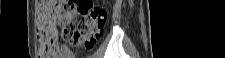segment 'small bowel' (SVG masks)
Instances as JSON below:
<instances>
[{"instance_id":"1","label":"small bowel","mask_w":225,"mask_h":58,"mask_svg":"<svg viewBox=\"0 0 225 58\" xmlns=\"http://www.w3.org/2000/svg\"><path fill=\"white\" fill-rule=\"evenodd\" d=\"M64 58H72V55L69 53H66Z\"/></svg>"}]
</instances>
